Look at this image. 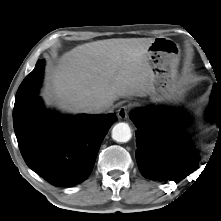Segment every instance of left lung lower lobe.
Returning <instances> with one entry per match:
<instances>
[{
    "instance_id": "0a47b994",
    "label": "left lung lower lobe",
    "mask_w": 221,
    "mask_h": 221,
    "mask_svg": "<svg viewBox=\"0 0 221 221\" xmlns=\"http://www.w3.org/2000/svg\"><path fill=\"white\" fill-rule=\"evenodd\" d=\"M219 126L221 143V85L214 84L206 113ZM137 127L136 161L145 178L180 181L198 168L197 151L190 147L177 117L164 108H142L131 113ZM220 134V135H219Z\"/></svg>"
}]
</instances>
